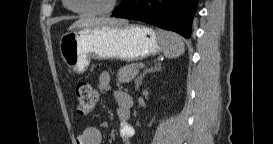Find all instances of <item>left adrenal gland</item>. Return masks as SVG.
Returning <instances> with one entry per match:
<instances>
[{"mask_svg":"<svg viewBox=\"0 0 273 144\" xmlns=\"http://www.w3.org/2000/svg\"><path fill=\"white\" fill-rule=\"evenodd\" d=\"M161 69V64L160 63H156L153 67L147 68L143 71V73L135 80V90L137 91L140 87V85L142 84V80L143 77L147 74V73H151L154 71H159Z\"/></svg>","mask_w":273,"mask_h":144,"instance_id":"a2214340","label":"left adrenal gland"}]
</instances>
